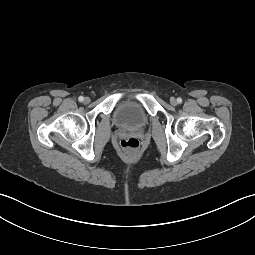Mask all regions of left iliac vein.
<instances>
[{
    "label": "left iliac vein",
    "instance_id": "obj_1",
    "mask_svg": "<svg viewBox=\"0 0 255 255\" xmlns=\"http://www.w3.org/2000/svg\"><path fill=\"white\" fill-rule=\"evenodd\" d=\"M170 103L175 106L177 104V100L175 98H171Z\"/></svg>",
    "mask_w": 255,
    "mask_h": 255
}]
</instances>
